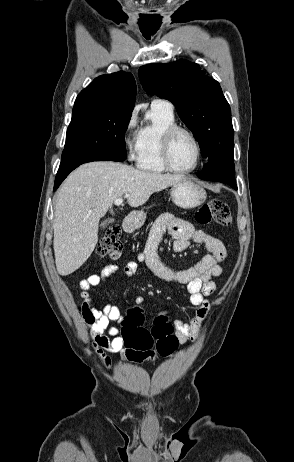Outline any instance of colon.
Instances as JSON below:
<instances>
[{"label": "colon", "instance_id": "5ec220e1", "mask_svg": "<svg viewBox=\"0 0 294 462\" xmlns=\"http://www.w3.org/2000/svg\"><path fill=\"white\" fill-rule=\"evenodd\" d=\"M201 225L211 223L228 227L232 223V215L225 202L219 199L205 203L195 215ZM123 250L121 230L117 225L110 226L97 245V254L104 258H119ZM121 335L129 348L144 352L151 359L156 352L160 356H168L176 351L179 341L174 333L173 325L163 315L157 316L150 331L144 328V315L139 309H132L123 317Z\"/></svg>", "mask_w": 294, "mask_h": 462}]
</instances>
